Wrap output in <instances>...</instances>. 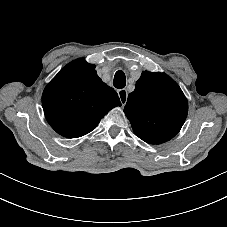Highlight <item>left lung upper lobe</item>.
<instances>
[{
  "mask_svg": "<svg viewBox=\"0 0 227 227\" xmlns=\"http://www.w3.org/2000/svg\"><path fill=\"white\" fill-rule=\"evenodd\" d=\"M124 112L136 136L149 144H161L180 131L188 103L168 75L144 71L128 96Z\"/></svg>",
  "mask_w": 227,
  "mask_h": 227,
  "instance_id": "5c2ea615",
  "label": "left lung upper lobe"
}]
</instances>
